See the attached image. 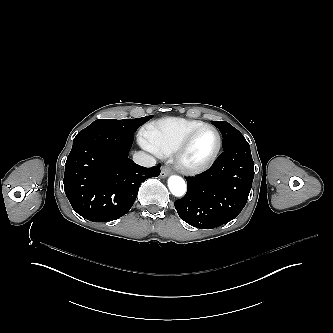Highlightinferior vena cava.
Segmentation results:
<instances>
[{
	"instance_id": "602c4592",
	"label": "inferior vena cava",
	"mask_w": 333,
	"mask_h": 333,
	"mask_svg": "<svg viewBox=\"0 0 333 333\" xmlns=\"http://www.w3.org/2000/svg\"><path fill=\"white\" fill-rule=\"evenodd\" d=\"M133 161L144 167H152L156 164V159L143 151L136 152L133 155Z\"/></svg>"
}]
</instances>
